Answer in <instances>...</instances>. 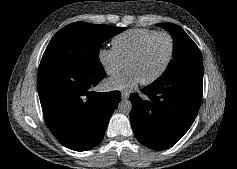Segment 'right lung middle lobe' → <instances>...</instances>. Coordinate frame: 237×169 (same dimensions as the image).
<instances>
[{"label":"right lung middle lobe","mask_w":237,"mask_h":169,"mask_svg":"<svg viewBox=\"0 0 237 169\" xmlns=\"http://www.w3.org/2000/svg\"><path fill=\"white\" fill-rule=\"evenodd\" d=\"M124 29L85 22L69 24L54 35L40 65H57L84 71L102 70L100 47Z\"/></svg>","instance_id":"right-lung-middle-lobe-1"}]
</instances>
